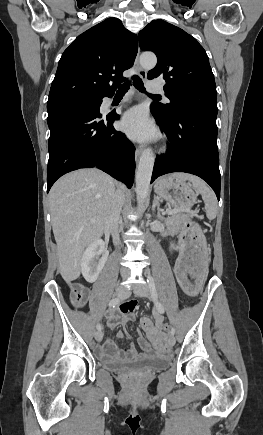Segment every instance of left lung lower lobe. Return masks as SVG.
<instances>
[{
    "mask_svg": "<svg viewBox=\"0 0 263 435\" xmlns=\"http://www.w3.org/2000/svg\"><path fill=\"white\" fill-rule=\"evenodd\" d=\"M170 147L156 158L151 183L171 172H186L205 180L220 199V171L217 147L216 116L205 113H177L167 120L156 114Z\"/></svg>",
    "mask_w": 263,
    "mask_h": 435,
    "instance_id": "obj_1",
    "label": "left lung lower lobe"
}]
</instances>
